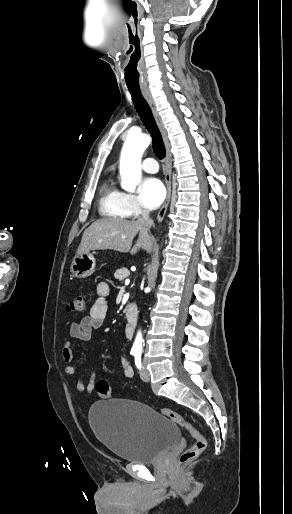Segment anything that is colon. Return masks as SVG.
<instances>
[{"mask_svg":"<svg viewBox=\"0 0 292 514\" xmlns=\"http://www.w3.org/2000/svg\"><path fill=\"white\" fill-rule=\"evenodd\" d=\"M86 310V302L83 297L78 296L69 301L67 311L69 313L83 312ZM95 390L103 400L110 399L112 392L108 381L99 379L95 384ZM160 413L168 420L185 429L192 437V446L184 449L179 457L180 463H187L197 459L206 449V439L201 431L189 420L175 410L162 408Z\"/></svg>","mask_w":292,"mask_h":514,"instance_id":"1","label":"colon"}]
</instances>
